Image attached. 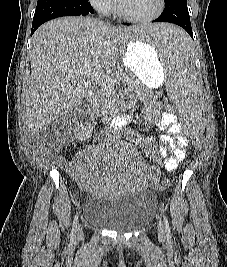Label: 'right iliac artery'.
I'll list each match as a JSON object with an SVG mask.
<instances>
[{"mask_svg":"<svg viewBox=\"0 0 227 267\" xmlns=\"http://www.w3.org/2000/svg\"><path fill=\"white\" fill-rule=\"evenodd\" d=\"M77 223H78V213L74 216V220H73V226H72V231H71L72 239L75 237V234L77 231Z\"/></svg>","mask_w":227,"mask_h":267,"instance_id":"1","label":"right iliac artery"}]
</instances>
